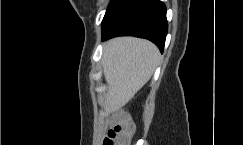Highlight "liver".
<instances>
[{
	"instance_id": "obj_1",
	"label": "liver",
	"mask_w": 243,
	"mask_h": 145,
	"mask_svg": "<svg viewBox=\"0 0 243 145\" xmlns=\"http://www.w3.org/2000/svg\"><path fill=\"white\" fill-rule=\"evenodd\" d=\"M159 56L153 43L139 38L119 37L105 43L106 111H117L133 98L151 78Z\"/></svg>"
}]
</instances>
